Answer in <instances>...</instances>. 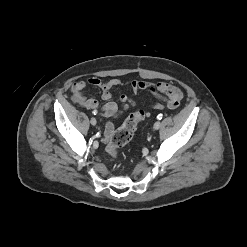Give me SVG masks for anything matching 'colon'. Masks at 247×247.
Segmentation results:
<instances>
[{
  "instance_id": "5ec220e1",
  "label": "colon",
  "mask_w": 247,
  "mask_h": 247,
  "mask_svg": "<svg viewBox=\"0 0 247 247\" xmlns=\"http://www.w3.org/2000/svg\"><path fill=\"white\" fill-rule=\"evenodd\" d=\"M144 116L143 111L130 115L113 133L106 147V152L111 158H116L119 154V149L131 141L137 124L144 119Z\"/></svg>"
}]
</instances>
